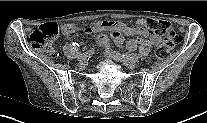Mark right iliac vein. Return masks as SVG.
<instances>
[{"instance_id":"63e3f726","label":"right iliac vein","mask_w":207,"mask_h":123,"mask_svg":"<svg viewBox=\"0 0 207 123\" xmlns=\"http://www.w3.org/2000/svg\"><path fill=\"white\" fill-rule=\"evenodd\" d=\"M85 66H86L85 61L80 60V61L78 62V67H79V68L83 69V68H85Z\"/></svg>"}]
</instances>
